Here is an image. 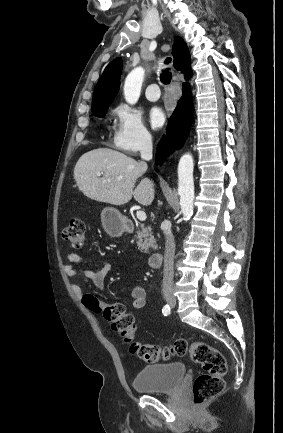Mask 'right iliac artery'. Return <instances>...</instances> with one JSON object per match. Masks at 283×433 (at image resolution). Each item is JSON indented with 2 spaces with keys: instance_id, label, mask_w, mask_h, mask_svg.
I'll list each match as a JSON object with an SVG mask.
<instances>
[{
  "instance_id": "1",
  "label": "right iliac artery",
  "mask_w": 283,
  "mask_h": 433,
  "mask_svg": "<svg viewBox=\"0 0 283 433\" xmlns=\"http://www.w3.org/2000/svg\"><path fill=\"white\" fill-rule=\"evenodd\" d=\"M170 311H171V309H170L169 305H165L162 309V313L164 316H168L170 314Z\"/></svg>"
}]
</instances>
